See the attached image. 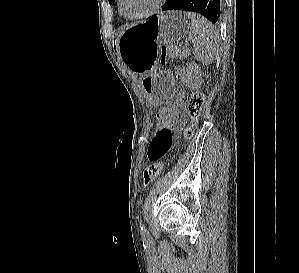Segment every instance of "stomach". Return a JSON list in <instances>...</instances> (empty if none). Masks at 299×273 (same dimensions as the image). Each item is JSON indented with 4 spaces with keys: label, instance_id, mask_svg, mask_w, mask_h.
Listing matches in <instances>:
<instances>
[{
    "label": "stomach",
    "instance_id": "stomach-1",
    "mask_svg": "<svg viewBox=\"0 0 299 273\" xmlns=\"http://www.w3.org/2000/svg\"><path fill=\"white\" fill-rule=\"evenodd\" d=\"M189 32L185 13L170 11L125 30L116 42L117 52L131 70L139 74L141 88L151 102L169 101L172 75L160 69L162 44L184 38Z\"/></svg>",
    "mask_w": 299,
    "mask_h": 273
}]
</instances>
